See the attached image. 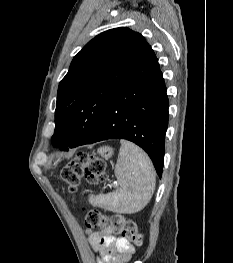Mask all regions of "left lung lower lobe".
I'll return each instance as SVG.
<instances>
[{
  "instance_id": "obj_1",
  "label": "left lung lower lobe",
  "mask_w": 233,
  "mask_h": 263,
  "mask_svg": "<svg viewBox=\"0 0 233 263\" xmlns=\"http://www.w3.org/2000/svg\"><path fill=\"white\" fill-rule=\"evenodd\" d=\"M168 97L158 59L151 47L109 102L95 126L82 142L52 138L54 146L68 151L106 139H126L143 148L161 177Z\"/></svg>"
}]
</instances>
